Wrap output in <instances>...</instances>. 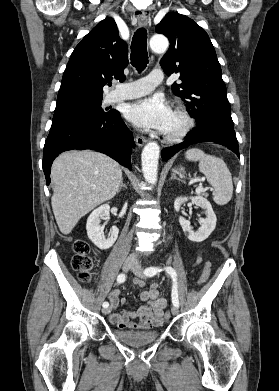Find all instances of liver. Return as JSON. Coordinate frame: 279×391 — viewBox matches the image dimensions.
Masks as SVG:
<instances>
[{
    "label": "liver",
    "mask_w": 279,
    "mask_h": 391,
    "mask_svg": "<svg viewBox=\"0 0 279 391\" xmlns=\"http://www.w3.org/2000/svg\"><path fill=\"white\" fill-rule=\"evenodd\" d=\"M51 180L54 216L61 233L68 235L84 215L116 195L122 169L105 154L69 151L53 162Z\"/></svg>",
    "instance_id": "liver-1"
}]
</instances>
